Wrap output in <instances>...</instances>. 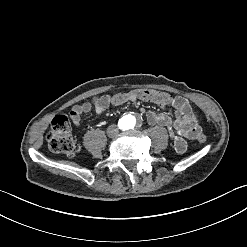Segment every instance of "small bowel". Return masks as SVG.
<instances>
[{
	"mask_svg": "<svg viewBox=\"0 0 247 247\" xmlns=\"http://www.w3.org/2000/svg\"><path fill=\"white\" fill-rule=\"evenodd\" d=\"M174 102L170 107L175 109V117L167 113H158L152 110L146 111L145 119L149 125H163L170 130V137L175 151L184 154L187 151V139H197V134L202 131V126L197 123L190 103L181 96H174ZM111 95L96 97L91 101L74 105L70 110V120L76 127L80 125L84 114L95 111L97 114L104 113L111 103ZM115 101L122 103L124 95L117 93ZM196 121V122H194Z\"/></svg>",
	"mask_w": 247,
	"mask_h": 247,
	"instance_id": "1",
	"label": "small bowel"
}]
</instances>
